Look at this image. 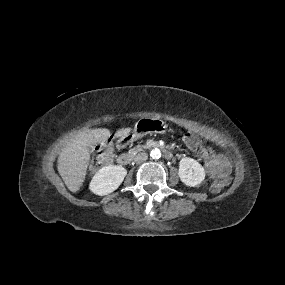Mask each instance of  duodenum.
Listing matches in <instances>:
<instances>
[{"mask_svg":"<svg viewBox=\"0 0 285 285\" xmlns=\"http://www.w3.org/2000/svg\"><path fill=\"white\" fill-rule=\"evenodd\" d=\"M136 153H137L136 150H132L129 152L122 153L117 157V162L121 165L129 164L132 161V159L134 158V156L136 155ZM163 154H164L166 159H172L173 158V153L170 150L163 149Z\"/></svg>","mask_w":285,"mask_h":285,"instance_id":"1","label":"duodenum"}]
</instances>
